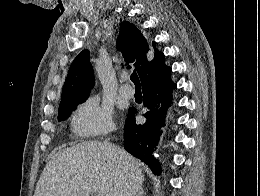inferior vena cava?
<instances>
[{"label": "inferior vena cava", "instance_id": "1", "mask_svg": "<svg viewBox=\"0 0 260 196\" xmlns=\"http://www.w3.org/2000/svg\"><path fill=\"white\" fill-rule=\"evenodd\" d=\"M104 146H110L109 144V138H107V140H105V142H103ZM121 196H132V194H130V192H125V194H121Z\"/></svg>", "mask_w": 260, "mask_h": 196}]
</instances>
